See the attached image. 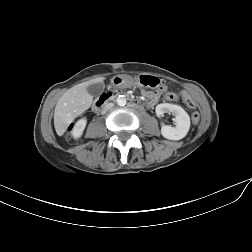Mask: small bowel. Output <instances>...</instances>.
<instances>
[{
  "mask_svg": "<svg viewBox=\"0 0 252 252\" xmlns=\"http://www.w3.org/2000/svg\"><path fill=\"white\" fill-rule=\"evenodd\" d=\"M144 94L148 98V104L147 105L149 107H153L157 103L158 98L160 96V92H158V91H146V92H144ZM182 96L187 97V94L183 93Z\"/></svg>",
  "mask_w": 252,
  "mask_h": 252,
  "instance_id": "1",
  "label": "small bowel"
}]
</instances>
